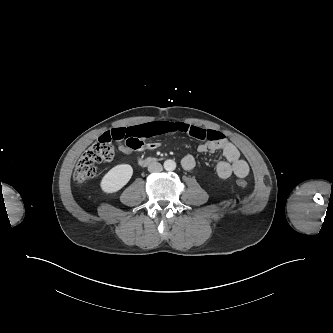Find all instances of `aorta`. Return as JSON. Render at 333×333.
Returning <instances> with one entry per match:
<instances>
[{
  "label": "aorta",
  "instance_id": "1",
  "mask_svg": "<svg viewBox=\"0 0 333 333\" xmlns=\"http://www.w3.org/2000/svg\"><path fill=\"white\" fill-rule=\"evenodd\" d=\"M164 169L166 171H173L176 169V162L174 160L168 159L164 162Z\"/></svg>",
  "mask_w": 333,
  "mask_h": 333
}]
</instances>
